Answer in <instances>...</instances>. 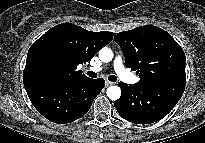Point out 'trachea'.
<instances>
[{
  "instance_id": "obj_1",
  "label": "trachea",
  "mask_w": 205,
  "mask_h": 143,
  "mask_svg": "<svg viewBox=\"0 0 205 143\" xmlns=\"http://www.w3.org/2000/svg\"><path fill=\"white\" fill-rule=\"evenodd\" d=\"M87 75L91 78H96L97 77V74L95 72H92V71H88ZM108 80L112 81V82H115L117 80V77L115 75H110V76H108Z\"/></svg>"
}]
</instances>
